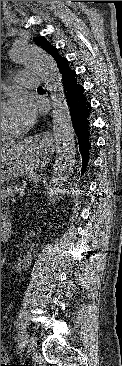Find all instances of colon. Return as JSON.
I'll return each mask as SVG.
<instances>
[{
	"label": "colon",
	"instance_id": "obj_1",
	"mask_svg": "<svg viewBox=\"0 0 122 366\" xmlns=\"http://www.w3.org/2000/svg\"><path fill=\"white\" fill-rule=\"evenodd\" d=\"M3 231V228H2V226H1V232Z\"/></svg>",
	"mask_w": 122,
	"mask_h": 366
}]
</instances>
